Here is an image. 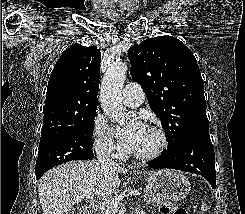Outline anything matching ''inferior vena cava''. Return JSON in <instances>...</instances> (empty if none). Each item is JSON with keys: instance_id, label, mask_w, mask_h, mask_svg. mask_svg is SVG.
<instances>
[{"instance_id": "obj_1", "label": "inferior vena cava", "mask_w": 245, "mask_h": 214, "mask_svg": "<svg viewBox=\"0 0 245 214\" xmlns=\"http://www.w3.org/2000/svg\"><path fill=\"white\" fill-rule=\"evenodd\" d=\"M111 148L103 143H98L97 158L99 163L104 167H111L115 165V162L110 159Z\"/></svg>"}]
</instances>
